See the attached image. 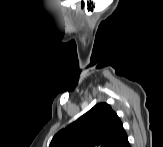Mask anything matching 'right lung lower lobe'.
<instances>
[{"label":"right lung lower lobe","mask_w":163,"mask_h":147,"mask_svg":"<svg viewBox=\"0 0 163 147\" xmlns=\"http://www.w3.org/2000/svg\"><path fill=\"white\" fill-rule=\"evenodd\" d=\"M113 147H130V144L127 140V135H124L120 140H118Z\"/></svg>","instance_id":"obj_1"}]
</instances>
